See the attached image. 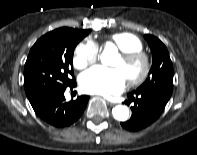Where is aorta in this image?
I'll list each match as a JSON object with an SVG mask.
<instances>
[{"label": "aorta", "mask_w": 197, "mask_h": 155, "mask_svg": "<svg viewBox=\"0 0 197 155\" xmlns=\"http://www.w3.org/2000/svg\"><path fill=\"white\" fill-rule=\"evenodd\" d=\"M114 54L113 48H106L101 54V62L104 65L109 63L110 58ZM113 117L118 121H126L129 117V109L124 105H117L112 109Z\"/></svg>", "instance_id": "1"}]
</instances>
